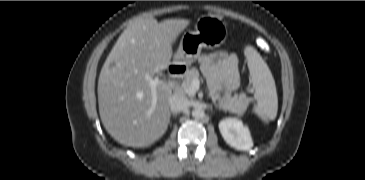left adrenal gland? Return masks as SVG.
I'll use <instances>...</instances> for the list:
<instances>
[{"instance_id":"left-adrenal-gland-1","label":"left adrenal gland","mask_w":365,"mask_h":180,"mask_svg":"<svg viewBox=\"0 0 365 180\" xmlns=\"http://www.w3.org/2000/svg\"><path fill=\"white\" fill-rule=\"evenodd\" d=\"M219 110H221V107H217Z\"/></svg>"}]
</instances>
